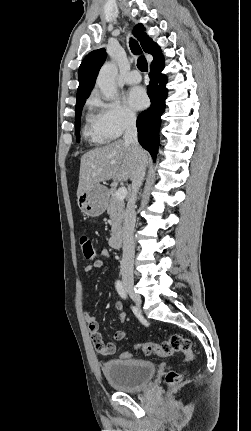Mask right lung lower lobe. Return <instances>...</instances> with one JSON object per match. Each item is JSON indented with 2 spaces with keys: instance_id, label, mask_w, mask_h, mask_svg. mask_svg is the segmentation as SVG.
I'll list each match as a JSON object with an SVG mask.
<instances>
[{
  "instance_id": "1",
  "label": "right lung lower lobe",
  "mask_w": 251,
  "mask_h": 431,
  "mask_svg": "<svg viewBox=\"0 0 251 431\" xmlns=\"http://www.w3.org/2000/svg\"><path fill=\"white\" fill-rule=\"evenodd\" d=\"M164 68V58L152 62L150 66V83L147 93L151 100V106L141 112L137 118L138 141L144 149L149 151L155 160L159 145V129L161 115L165 110L167 79L161 71Z\"/></svg>"
}]
</instances>
